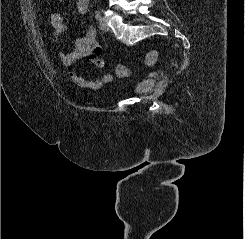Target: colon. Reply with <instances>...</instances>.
I'll use <instances>...</instances> for the list:
<instances>
[{
	"label": "colon",
	"instance_id": "1",
	"mask_svg": "<svg viewBox=\"0 0 245 239\" xmlns=\"http://www.w3.org/2000/svg\"><path fill=\"white\" fill-rule=\"evenodd\" d=\"M158 59V53L156 51L148 52L145 56V61L148 65H153ZM116 73L119 77H125L129 73V69L125 65H118L116 67Z\"/></svg>",
	"mask_w": 245,
	"mask_h": 239
}]
</instances>
